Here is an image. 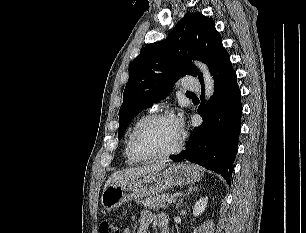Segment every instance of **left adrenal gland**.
I'll return each instance as SVG.
<instances>
[{"label":"left adrenal gland","mask_w":306,"mask_h":233,"mask_svg":"<svg viewBox=\"0 0 306 233\" xmlns=\"http://www.w3.org/2000/svg\"><path fill=\"white\" fill-rule=\"evenodd\" d=\"M194 191H197V188L195 187H189L187 190V193L185 194L186 196H188L189 194L193 193ZM184 200V196L178 201V203L176 204V209H179L182 202Z\"/></svg>","instance_id":"left-adrenal-gland-1"}]
</instances>
